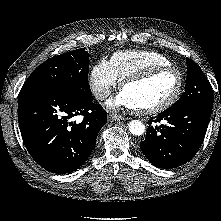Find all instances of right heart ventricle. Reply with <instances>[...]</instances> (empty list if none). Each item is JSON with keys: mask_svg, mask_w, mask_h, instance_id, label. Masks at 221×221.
<instances>
[{"mask_svg": "<svg viewBox=\"0 0 221 221\" xmlns=\"http://www.w3.org/2000/svg\"><path fill=\"white\" fill-rule=\"evenodd\" d=\"M109 63L118 81L152 67L172 66L166 56L150 50L118 51L111 56Z\"/></svg>", "mask_w": 221, "mask_h": 221, "instance_id": "e07e8e85", "label": "right heart ventricle"}]
</instances>
